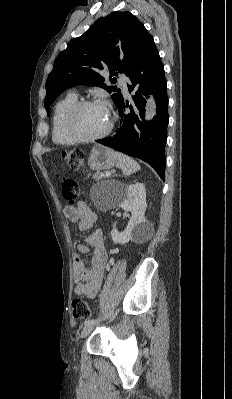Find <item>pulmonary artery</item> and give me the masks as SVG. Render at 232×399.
<instances>
[{"label": "pulmonary artery", "instance_id": "e3ab8cb5", "mask_svg": "<svg viewBox=\"0 0 232 399\" xmlns=\"http://www.w3.org/2000/svg\"><path fill=\"white\" fill-rule=\"evenodd\" d=\"M120 83H121L122 85H125L126 79H125V78H121V79H120Z\"/></svg>", "mask_w": 232, "mask_h": 399}]
</instances>
